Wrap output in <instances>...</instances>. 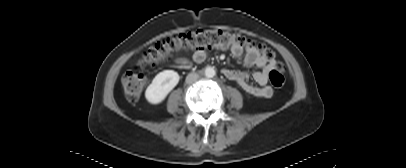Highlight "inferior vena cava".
<instances>
[{
  "label": "inferior vena cava",
  "instance_id": "1",
  "mask_svg": "<svg viewBox=\"0 0 406 168\" xmlns=\"http://www.w3.org/2000/svg\"><path fill=\"white\" fill-rule=\"evenodd\" d=\"M199 78V75L197 73H189L186 77V83L190 84L195 81H197Z\"/></svg>",
  "mask_w": 406,
  "mask_h": 168
}]
</instances>
